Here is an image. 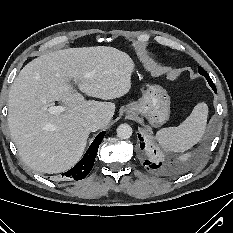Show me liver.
Returning a JSON list of instances; mask_svg holds the SVG:
<instances>
[{"mask_svg":"<svg viewBox=\"0 0 233 233\" xmlns=\"http://www.w3.org/2000/svg\"><path fill=\"white\" fill-rule=\"evenodd\" d=\"M134 65L130 56L114 47L68 48L29 62L15 78L8 98V125L25 164L40 173H60L82 157L89 131L82 126L89 115L111 121L115 104L85 100L88 96L111 100L131 88ZM61 102L64 111L48 108Z\"/></svg>","mask_w":233,"mask_h":233,"instance_id":"liver-1","label":"liver"}]
</instances>
